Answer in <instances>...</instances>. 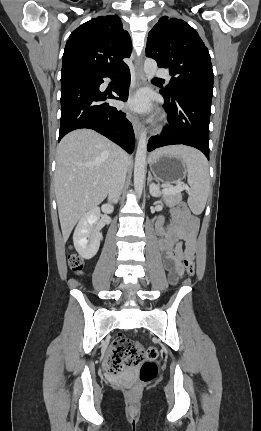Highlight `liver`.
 I'll list each match as a JSON object with an SVG mask.
<instances>
[{"instance_id": "1", "label": "liver", "mask_w": 261, "mask_h": 431, "mask_svg": "<svg viewBox=\"0 0 261 431\" xmlns=\"http://www.w3.org/2000/svg\"><path fill=\"white\" fill-rule=\"evenodd\" d=\"M120 151L91 129L72 131L60 141L55 194L64 242L78 220L106 198ZM125 160L126 166L131 165L132 159L126 153Z\"/></svg>"}]
</instances>
